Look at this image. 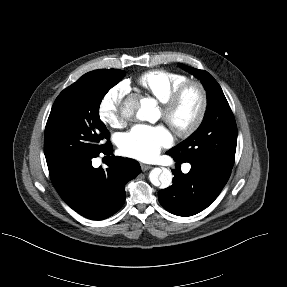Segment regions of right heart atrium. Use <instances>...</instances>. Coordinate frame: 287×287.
Listing matches in <instances>:
<instances>
[{"instance_id": "obj_1", "label": "right heart atrium", "mask_w": 287, "mask_h": 287, "mask_svg": "<svg viewBox=\"0 0 287 287\" xmlns=\"http://www.w3.org/2000/svg\"><path fill=\"white\" fill-rule=\"evenodd\" d=\"M128 91V85L121 82L103 95L98 105V115L105 125L113 128L122 125L121 104Z\"/></svg>"}]
</instances>
